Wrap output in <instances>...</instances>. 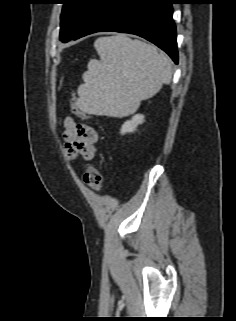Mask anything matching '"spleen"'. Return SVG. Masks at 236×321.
I'll return each mask as SVG.
<instances>
[{
  "instance_id": "spleen-1",
  "label": "spleen",
  "mask_w": 236,
  "mask_h": 321,
  "mask_svg": "<svg viewBox=\"0 0 236 321\" xmlns=\"http://www.w3.org/2000/svg\"><path fill=\"white\" fill-rule=\"evenodd\" d=\"M100 60H91L78 87V107L85 113L123 117L154 96L172 79L171 59L150 44L125 35L98 38Z\"/></svg>"
}]
</instances>
